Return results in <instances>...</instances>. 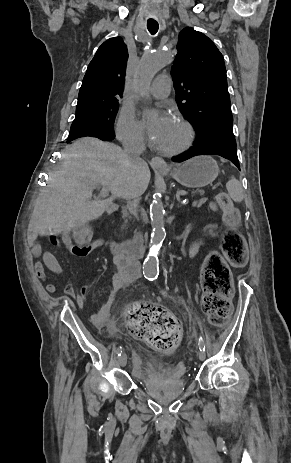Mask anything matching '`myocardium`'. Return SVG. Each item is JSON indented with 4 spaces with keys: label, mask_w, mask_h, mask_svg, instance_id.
<instances>
[{
    "label": "myocardium",
    "mask_w": 291,
    "mask_h": 463,
    "mask_svg": "<svg viewBox=\"0 0 291 463\" xmlns=\"http://www.w3.org/2000/svg\"><path fill=\"white\" fill-rule=\"evenodd\" d=\"M176 122L179 124L183 131V139L177 146L173 148L160 149V152L167 156L178 155L186 151L194 141L195 132L192 125L182 117H177Z\"/></svg>",
    "instance_id": "myocardium-1"
}]
</instances>
